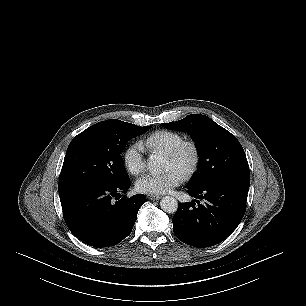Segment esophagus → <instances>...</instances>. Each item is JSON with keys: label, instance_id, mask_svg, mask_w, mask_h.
Segmentation results:
<instances>
[{"label": "esophagus", "instance_id": "obj_1", "mask_svg": "<svg viewBox=\"0 0 306 306\" xmlns=\"http://www.w3.org/2000/svg\"><path fill=\"white\" fill-rule=\"evenodd\" d=\"M148 198L150 200H159L161 196L160 195H148Z\"/></svg>", "mask_w": 306, "mask_h": 306}]
</instances>
